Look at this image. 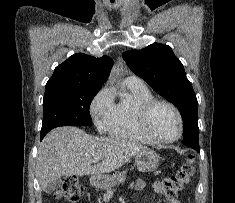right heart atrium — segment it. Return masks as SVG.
<instances>
[{"label": "right heart atrium", "instance_id": "1", "mask_svg": "<svg viewBox=\"0 0 235 203\" xmlns=\"http://www.w3.org/2000/svg\"><path fill=\"white\" fill-rule=\"evenodd\" d=\"M113 109L111 90L106 86L102 87L93 97L89 107L92 120L100 131L107 130Z\"/></svg>", "mask_w": 235, "mask_h": 203}]
</instances>
